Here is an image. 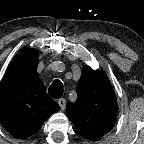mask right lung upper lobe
Instances as JSON below:
<instances>
[{"label": "right lung upper lobe", "instance_id": "cb5924a9", "mask_svg": "<svg viewBox=\"0 0 144 144\" xmlns=\"http://www.w3.org/2000/svg\"><path fill=\"white\" fill-rule=\"evenodd\" d=\"M38 51L25 49L8 66L0 84V121L14 137L25 139L60 109L37 73Z\"/></svg>", "mask_w": 144, "mask_h": 144}]
</instances>
